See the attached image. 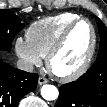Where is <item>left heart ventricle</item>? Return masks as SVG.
Masks as SVG:
<instances>
[{"label": "left heart ventricle", "mask_w": 107, "mask_h": 107, "mask_svg": "<svg viewBox=\"0 0 107 107\" xmlns=\"http://www.w3.org/2000/svg\"><path fill=\"white\" fill-rule=\"evenodd\" d=\"M90 44V27L82 22L73 29L64 48L54 58L53 69L59 74H67L74 71L85 59Z\"/></svg>", "instance_id": "left-heart-ventricle-1"}]
</instances>
